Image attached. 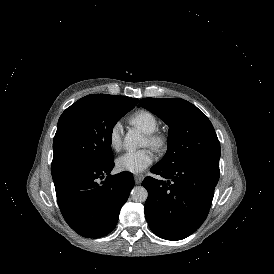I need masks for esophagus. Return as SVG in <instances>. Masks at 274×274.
Returning <instances> with one entry per match:
<instances>
[{
  "label": "esophagus",
  "mask_w": 274,
  "mask_h": 274,
  "mask_svg": "<svg viewBox=\"0 0 274 274\" xmlns=\"http://www.w3.org/2000/svg\"><path fill=\"white\" fill-rule=\"evenodd\" d=\"M144 179V175L143 174H135L134 175V180L136 184H140Z\"/></svg>",
  "instance_id": "1"
}]
</instances>
